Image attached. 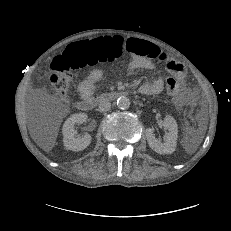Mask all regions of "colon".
<instances>
[{"mask_svg": "<svg viewBox=\"0 0 231 231\" xmlns=\"http://www.w3.org/2000/svg\"><path fill=\"white\" fill-rule=\"evenodd\" d=\"M124 39L120 36L100 38L98 40L74 44L67 48L63 55L52 60L49 80L54 90L65 96L72 81V72L86 64H96L119 59L123 55ZM167 91L175 95L178 83L175 77H169L166 82Z\"/></svg>", "mask_w": 231, "mask_h": 231, "instance_id": "obj_1", "label": "colon"}]
</instances>
